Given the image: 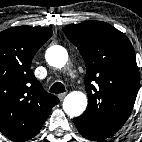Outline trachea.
<instances>
[{"label":"trachea","mask_w":142,"mask_h":142,"mask_svg":"<svg viewBox=\"0 0 142 142\" xmlns=\"http://www.w3.org/2000/svg\"><path fill=\"white\" fill-rule=\"evenodd\" d=\"M51 93L59 94L65 92V87L61 82H56L50 88Z\"/></svg>","instance_id":"1"}]
</instances>
